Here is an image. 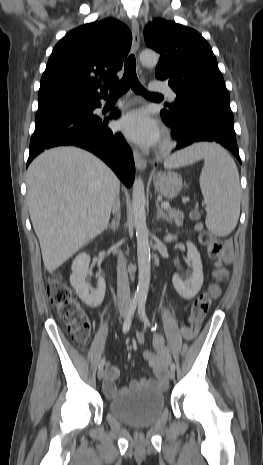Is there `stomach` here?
<instances>
[{
    "mask_svg": "<svg viewBox=\"0 0 263 465\" xmlns=\"http://www.w3.org/2000/svg\"><path fill=\"white\" fill-rule=\"evenodd\" d=\"M153 184L155 190L167 199L176 197L183 186L181 176L174 172L155 173Z\"/></svg>",
    "mask_w": 263,
    "mask_h": 465,
    "instance_id": "0dacf381",
    "label": "stomach"
}]
</instances>
